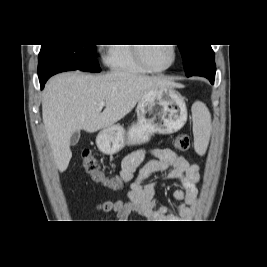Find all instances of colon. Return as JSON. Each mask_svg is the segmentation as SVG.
Returning <instances> with one entry per match:
<instances>
[{
	"label": "colon",
	"mask_w": 267,
	"mask_h": 267,
	"mask_svg": "<svg viewBox=\"0 0 267 267\" xmlns=\"http://www.w3.org/2000/svg\"><path fill=\"white\" fill-rule=\"evenodd\" d=\"M174 146L179 151H187L190 147L189 136L185 133L178 134L174 139ZM82 167L92 181L110 189L123 188L124 180L122 177H110L88 149L82 152Z\"/></svg>",
	"instance_id": "obj_1"
}]
</instances>
